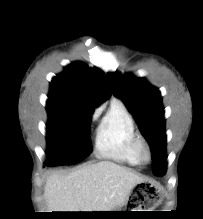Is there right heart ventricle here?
Here are the masks:
<instances>
[{
    "mask_svg": "<svg viewBox=\"0 0 203 219\" xmlns=\"http://www.w3.org/2000/svg\"><path fill=\"white\" fill-rule=\"evenodd\" d=\"M137 136L132 116L123 104L113 101L98 127L96 151L105 158L139 165L142 161L135 148Z\"/></svg>",
    "mask_w": 203,
    "mask_h": 219,
    "instance_id": "right-heart-ventricle-1",
    "label": "right heart ventricle"
}]
</instances>
